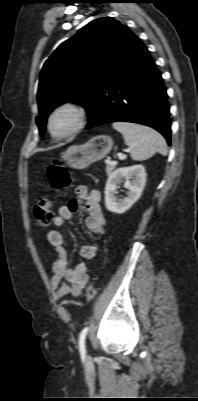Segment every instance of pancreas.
<instances>
[{"instance_id":"pancreas-1","label":"pancreas","mask_w":198,"mask_h":401,"mask_svg":"<svg viewBox=\"0 0 198 401\" xmlns=\"http://www.w3.org/2000/svg\"><path fill=\"white\" fill-rule=\"evenodd\" d=\"M107 165H106V173H107V175H110L112 172H113V170L115 169V164H113V163H106Z\"/></svg>"}]
</instances>
